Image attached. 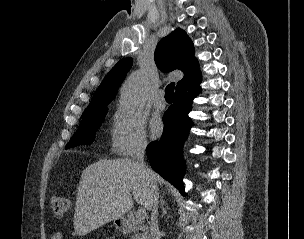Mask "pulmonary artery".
<instances>
[{"label": "pulmonary artery", "mask_w": 304, "mask_h": 239, "mask_svg": "<svg viewBox=\"0 0 304 239\" xmlns=\"http://www.w3.org/2000/svg\"><path fill=\"white\" fill-rule=\"evenodd\" d=\"M153 105L155 108L160 109V110L165 108L166 102L163 97V91L160 90L155 94L154 99H153Z\"/></svg>", "instance_id": "e3ab8cb5"}]
</instances>
